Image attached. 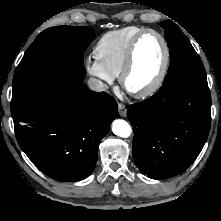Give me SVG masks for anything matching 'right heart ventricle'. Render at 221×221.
<instances>
[{
	"instance_id": "right-heart-ventricle-1",
	"label": "right heart ventricle",
	"mask_w": 221,
	"mask_h": 221,
	"mask_svg": "<svg viewBox=\"0 0 221 221\" xmlns=\"http://www.w3.org/2000/svg\"><path fill=\"white\" fill-rule=\"evenodd\" d=\"M140 26H127L103 34L94 48L96 59L114 77L119 76L132 39L142 31Z\"/></svg>"
}]
</instances>
